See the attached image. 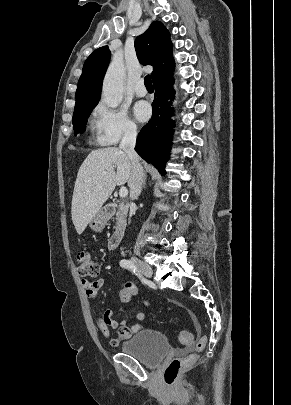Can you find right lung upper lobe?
<instances>
[{"label": "right lung upper lobe", "mask_w": 291, "mask_h": 405, "mask_svg": "<svg viewBox=\"0 0 291 405\" xmlns=\"http://www.w3.org/2000/svg\"><path fill=\"white\" fill-rule=\"evenodd\" d=\"M135 49L143 65L154 67L151 73L153 83L174 70L170 34L161 22L154 21L145 33L136 38ZM110 56L108 47L103 46L96 49L85 61L76 90L74 112L97 105Z\"/></svg>", "instance_id": "cb5924a9"}]
</instances>
